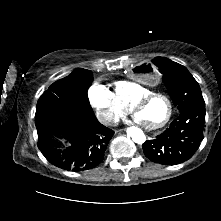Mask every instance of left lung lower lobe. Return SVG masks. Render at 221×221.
Here are the masks:
<instances>
[{"instance_id": "1", "label": "left lung lower lobe", "mask_w": 221, "mask_h": 221, "mask_svg": "<svg viewBox=\"0 0 221 221\" xmlns=\"http://www.w3.org/2000/svg\"><path fill=\"white\" fill-rule=\"evenodd\" d=\"M205 104L180 111L168 129L143 145L145 156L163 165H177L189 160L203 140Z\"/></svg>"}]
</instances>
